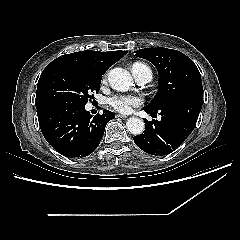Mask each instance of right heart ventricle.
<instances>
[{
    "label": "right heart ventricle",
    "instance_id": "obj_1",
    "mask_svg": "<svg viewBox=\"0 0 240 240\" xmlns=\"http://www.w3.org/2000/svg\"><path fill=\"white\" fill-rule=\"evenodd\" d=\"M134 68H146V69H148V67H147L145 64L141 63V62H136V63H134L133 66H132V70H133ZM148 70H149V69H148Z\"/></svg>",
    "mask_w": 240,
    "mask_h": 240
}]
</instances>
